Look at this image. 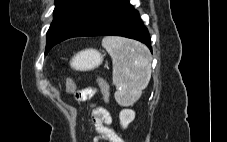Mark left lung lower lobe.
Returning <instances> with one entry per match:
<instances>
[{
    "instance_id": "left-lung-lower-lobe-1",
    "label": "left lung lower lobe",
    "mask_w": 227,
    "mask_h": 142,
    "mask_svg": "<svg viewBox=\"0 0 227 142\" xmlns=\"http://www.w3.org/2000/svg\"><path fill=\"white\" fill-rule=\"evenodd\" d=\"M123 36L145 43L150 50L151 40L139 13L128 0H111L72 37Z\"/></svg>"
}]
</instances>
